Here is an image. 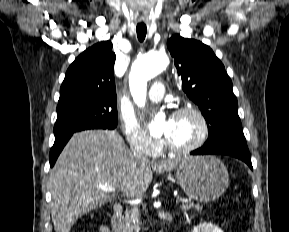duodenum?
Returning a JSON list of instances; mask_svg holds the SVG:
<instances>
[{"mask_svg": "<svg viewBox=\"0 0 289 232\" xmlns=\"http://www.w3.org/2000/svg\"><path fill=\"white\" fill-rule=\"evenodd\" d=\"M123 215V207L121 205H116L111 216V228L112 232H123L121 226V218ZM165 232V231H160Z\"/></svg>", "mask_w": 289, "mask_h": 232, "instance_id": "duodenum-1", "label": "duodenum"}]
</instances>
